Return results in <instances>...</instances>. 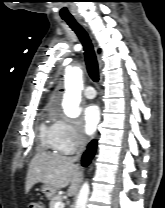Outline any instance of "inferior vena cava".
<instances>
[{"label":"inferior vena cava","instance_id":"obj_1","mask_svg":"<svg viewBox=\"0 0 165 208\" xmlns=\"http://www.w3.org/2000/svg\"><path fill=\"white\" fill-rule=\"evenodd\" d=\"M79 151L77 153V155L71 157L73 162H76L80 159V156L82 154V152L85 150L86 145H87V138L84 134L80 135V140H79Z\"/></svg>","mask_w":165,"mask_h":208}]
</instances>
